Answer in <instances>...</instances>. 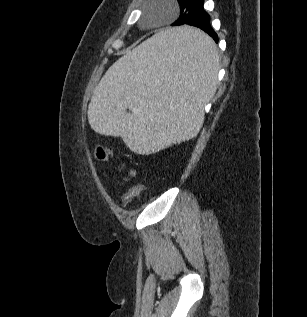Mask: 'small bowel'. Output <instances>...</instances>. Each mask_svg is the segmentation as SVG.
<instances>
[{
	"label": "small bowel",
	"instance_id": "1",
	"mask_svg": "<svg viewBox=\"0 0 307 317\" xmlns=\"http://www.w3.org/2000/svg\"><path fill=\"white\" fill-rule=\"evenodd\" d=\"M134 175H135V171L131 170V171L129 172V176H134Z\"/></svg>",
	"mask_w": 307,
	"mask_h": 317
}]
</instances>
